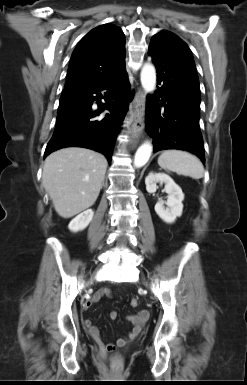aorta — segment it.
<instances>
[{
    "label": "aorta",
    "instance_id": "1",
    "mask_svg": "<svg viewBox=\"0 0 247 385\" xmlns=\"http://www.w3.org/2000/svg\"><path fill=\"white\" fill-rule=\"evenodd\" d=\"M141 85L145 92L152 93L156 87V70L152 64L145 63L142 67L141 74ZM153 147L149 142L143 143L135 153L134 166L139 168L144 166L151 154Z\"/></svg>",
    "mask_w": 247,
    "mask_h": 385
}]
</instances>
